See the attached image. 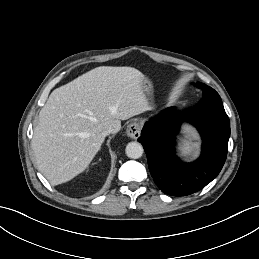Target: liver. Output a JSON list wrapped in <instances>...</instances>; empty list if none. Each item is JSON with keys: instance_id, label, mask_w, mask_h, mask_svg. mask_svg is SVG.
Instances as JSON below:
<instances>
[{"instance_id": "6515ba94", "label": "liver", "mask_w": 259, "mask_h": 259, "mask_svg": "<svg viewBox=\"0 0 259 259\" xmlns=\"http://www.w3.org/2000/svg\"><path fill=\"white\" fill-rule=\"evenodd\" d=\"M143 74L132 67L100 66L56 88L39 112L32 149L51 185L82 173L101 149L102 132L149 109Z\"/></svg>"}]
</instances>
